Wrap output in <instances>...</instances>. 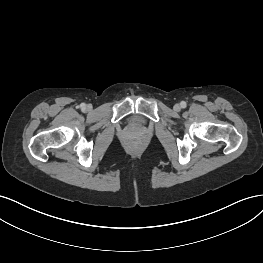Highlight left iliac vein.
<instances>
[{"mask_svg":"<svg viewBox=\"0 0 263 263\" xmlns=\"http://www.w3.org/2000/svg\"><path fill=\"white\" fill-rule=\"evenodd\" d=\"M173 108L175 111H180L181 106L179 104H175Z\"/></svg>","mask_w":263,"mask_h":263,"instance_id":"obj_1","label":"left iliac vein"}]
</instances>
